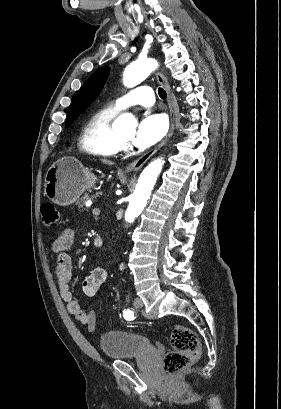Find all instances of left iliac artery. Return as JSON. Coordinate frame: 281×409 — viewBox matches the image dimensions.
Masks as SVG:
<instances>
[{
    "instance_id": "44dca946",
    "label": "left iliac artery",
    "mask_w": 281,
    "mask_h": 409,
    "mask_svg": "<svg viewBox=\"0 0 281 409\" xmlns=\"http://www.w3.org/2000/svg\"><path fill=\"white\" fill-rule=\"evenodd\" d=\"M124 318L126 320H133L134 319V311L132 309H127L124 311Z\"/></svg>"
}]
</instances>
